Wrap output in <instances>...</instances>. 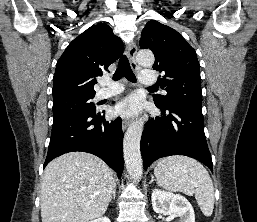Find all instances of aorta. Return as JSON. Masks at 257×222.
Instances as JSON below:
<instances>
[{
    "label": "aorta",
    "instance_id": "762f6f07",
    "mask_svg": "<svg viewBox=\"0 0 257 222\" xmlns=\"http://www.w3.org/2000/svg\"><path fill=\"white\" fill-rule=\"evenodd\" d=\"M154 55L151 51L142 50L137 54V62L144 67L154 64ZM144 120L140 118L130 125L125 133L123 141V153L128 174L139 180L143 174L142 158L140 153V140L143 131Z\"/></svg>",
    "mask_w": 257,
    "mask_h": 222
}]
</instances>
